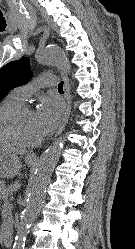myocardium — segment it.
I'll list each match as a JSON object with an SVG mask.
<instances>
[{"mask_svg":"<svg viewBox=\"0 0 135 249\" xmlns=\"http://www.w3.org/2000/svg\"><path fill=\"white\" fill-rule=\"evenodd\" d=\"M32 107L28 104L21 103L17 106L12 107L8 111H6L1 118V128L2 130L8 134L17 144L34 147L41 143L42 137L36 140H27L21 136L19 133L16 123L17 119L24 112L32 111Z\"/></svg>","mask_w":135,"mask_h":249,"instance_id":"1","label":"myocardium"}]
</instances>
